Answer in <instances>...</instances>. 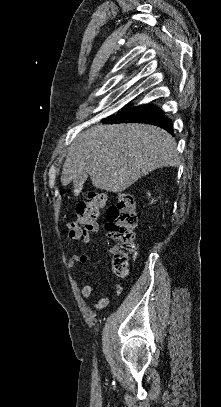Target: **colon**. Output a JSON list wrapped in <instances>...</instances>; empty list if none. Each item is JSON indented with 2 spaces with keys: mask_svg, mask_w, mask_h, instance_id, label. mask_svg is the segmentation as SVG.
<instances>
[{
  "mask_svg": "<svg viewBox=\"0 0 221 407\" xmlns=\"http://www.w3.org/2000/svg\"><path fill=\"white\" fill-rule=\"evenodd\" d=\"M109 193L93 191L89 193L88 201L75 207V220L66 228L72 240L90 238L98 228L99 211L106 205ZM108 234L115 240L112 250L113 271L119 278H125L129 273V255L136 248L137 214L135 199L130 194L119 193L116 203L108 211Z\"/></svg>",
  "mask_w": 221,
  "mask_h": 407,
  "instance_id": "obj_1",
  "label": "colon"
}]
</instances>
